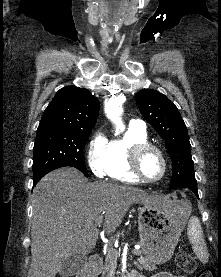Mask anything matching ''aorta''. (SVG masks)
<instances>
[{
  "mask_svg": "<svg viewBox=\"0 0 221 277\" xmlns=\"http://www.w3.org/2000/svg\"><path fill=\"white\" fill-rule=\"evenodd\" d=\"M121 105V98H112L105 107L107 117L116 125V132H122L125 129V126L120 117L122 113Z\"/></svg>",
  "mask_w": 221,
  "mask_h": 277,
  "instance_id": "1",
  "label": "aorta"
}]
</instances>
